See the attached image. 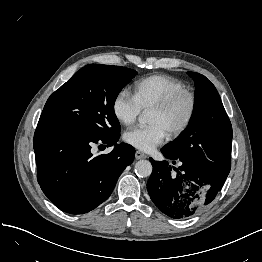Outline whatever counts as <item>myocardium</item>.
I'll list each match as a JSON object with an SVG mask.
<instances>
[{"label":"myocardium","mask_w":262,"mask_h":262,"mask_svg":"<svg viewBox=\"0 0 262 262\" xmlns=\"http://www.w3.org/2000/svg\"><path fill=\"white\" fill-rule=\"evenodd\" d=\"M183 99L186 100L188 104L187 114L183 121L169 132V136L173 138L183 134L190 127L197 109L195 94L187 89L175 91L154 104L150 109L164 112L172 108L176 103Z\"/></svg>","instance_id":"myocardium-1"}]
</instances>
